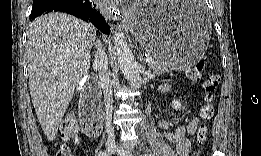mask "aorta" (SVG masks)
Returning a JSON list of instances; mask_svg holds the SVG:
<instances>
[{"label": "aorta", "mask_w": 261, "mask_h": 156, "mask_svg": "<svg viewBox=\"0 0 261 156\" xmlns=\"http://www.w3.org/2000/svg\"><path fill=\"white\" fill-rule=\"evenodd\" d=\"M114 48L121 71L132 88L141 87L140 68L120 27L114 36Z\"/></svg>", "instance_id": "1"}]
</instances>
